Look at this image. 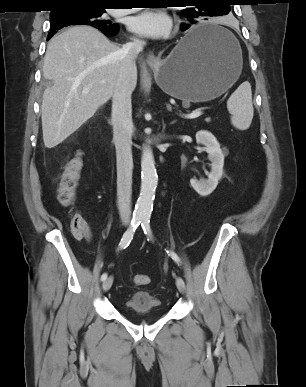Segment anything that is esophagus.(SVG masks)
<instances>
[{
	"label": "esophagus",
	"instance_id": "esophagus-1",
	"mask_svg": "<svg viewBox=\"0 0 306 387\" xmlns=\"http://www.w3.org/2000/svg\"><path fill=\"white\" fill-rule=\"evenodd\" d=\"M146 61L150 66H153L159 62V58L150 52L147 54Z\"/></svg>",
	"mask_w": 306,
	"mask_h": 387
}]
</instances>
